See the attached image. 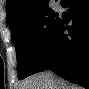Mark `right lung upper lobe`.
Segmentation results:
<instances>
[{"label":"right lung upper lobe","instance_id":"1","mask_svg":"<svg viewBox=\"0 0 89 89\" xmlns=\"http://www.w3.org/2000/svg\"><path fill=\"white\" fill-rule=\"evenodd\" d=\"M48 2L49 0H7L8 25L12 27L24 17L45 10Z\"/></svg>","mask_w":89,"mask_h":89}]
</instances>
